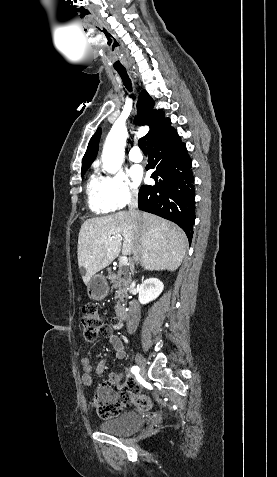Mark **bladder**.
<instances>
[{"label":"bladder","instance_id":"31cf9c89","mask_svg":"<svg viewBox=\"0 0 277 477\" xmlns=\"http://www.w3.org/2000/svg\"><path fill=\"white\" fill-rule=\"evenodd\" d=\"M143 424L142 417L135 411H124L99 424L102 432L112 435H126L137 431Z\"/></svg>","mask_w":277,"mask_h":477}]
</instances>
